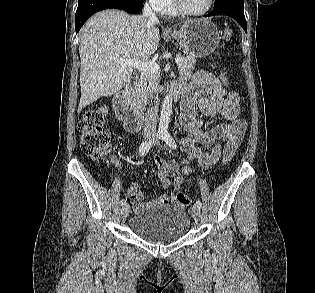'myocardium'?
Returning a JSON list of instances; mask_svg holds the SVG:
<instances>
[{
	"instance_id": "1",
	"label": "myocardium",
	"mask_w": 315,
	"mask_h": 293,
	"mask_svg": "<svg viewBox=\"0 0 315 293\" xmlns=\"http://www.w3.org/2000/svg\"><path fill=\"white\" fill-rule=\"evenodd\" d=\"M174 9L176 10L177 13L184 15V16H190V17H198L202 16L210 11V9L213 6L214 0H208L207 5L204 9L200 11H190L186 9L181 0H172Z\"/></svg>"
}]
</instances>
